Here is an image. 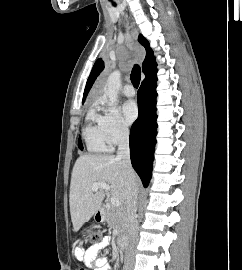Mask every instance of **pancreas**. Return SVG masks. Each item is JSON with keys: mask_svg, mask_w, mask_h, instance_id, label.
<instances>
[{"mask_svg": "<svg viewBox=\"0 0 242 270\" xmlns=\"http://www.w3.org/2000/svg\"><path fill=\"white\" fill-rule=\"evenodd\" d=\"M106 222L112 228H115L119 231L120 234L125 233L128 223L125 216V210L120 207H115L110 204L106 208Z\"/></svg>", "mask_w": 242, "mask_h": 270, "instance_id": "cf45deb5", "label": "pancreas"}]
</instances>
